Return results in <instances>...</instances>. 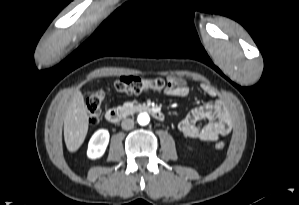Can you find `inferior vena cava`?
I'll use <instances>...</instances> for the list:
<instances>
[{
	"instance_id": "obj_1",
	"label": "inferior vena cava",
	"mask_w": 299,
	"mask_h": 205,
	"mask_svg": "<svg viewBox=\"0 0 299 205\" xmlns=\"http://www.w3.org/2000/svg\"><path fill=\"white\" fill-rule=\"evenodd\" d=\"M121 127L124 130H130L134 127V120L130 118H126L122 121Z\"/></svg>"
}]
</instances>
